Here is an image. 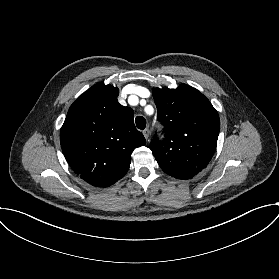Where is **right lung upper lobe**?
I'll use <instances>...</instances> for the list:
<instances>
[{
  "label": "right lung upper lobe",
  "mask_w": 279,
  "mask_h": 279,
  "mask_svg": "<svg viewBox=\"0 0 279 279\" xmlns=\"http://www.w3.org/2000/svg\"><path fill=\"white\" fill-rule=\"evenodd\" d=\"M118 88L98 83L70 107L60 132L65 158L81 179L106 187L129 169L131 153L146 143L134 111L118 103Z\"/></svg>",
  "instance_id": "1"
}]
</instances>
